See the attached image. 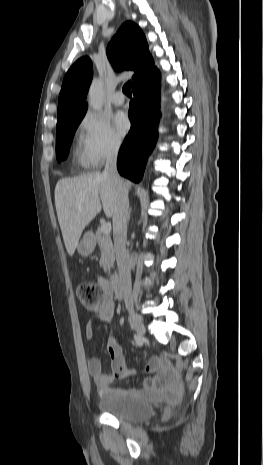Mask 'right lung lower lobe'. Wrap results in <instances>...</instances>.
<instances>
[{"mask_svg": "<svg viewBox=\"0 0 263 465\" xmlns=\"http://www.w3.org/2000/svg\"><path fill=\"white\" fill-rule=\"evenodd\" d=\"M134 99L129 105L131 129L118 155L121 175L139 182L158 136L160 117V73L158 70L133 86Z\"/></svg>", "mask_w": 263, "mask_h": 465, "instance_id": "obj_1", "label": "right lung lower lobe"}]
</instances>
